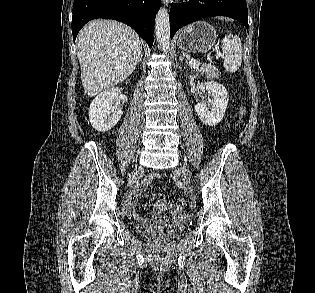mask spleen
<instances>
[{"label": "spleen", "mask_w": 315, "mask_h": 293, "mask_svg": "<svg viewBox=\"0 0 315 293\" xmlns=\"http://www.w3.org/2000/svg\"><path fill=\"white\" fill-rule=\"evenodd\" d=\"M222 51L225 55L224 68L229 73L236 72L242 63V43L238 36L228 35L224 37L221 44Z\"/></svg>", "instance_id": "1"}]
</instances>
